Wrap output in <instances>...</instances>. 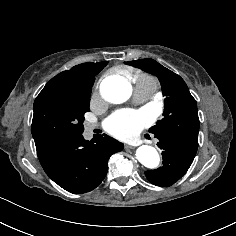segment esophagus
<instances>
[{"label":"esophagus","mask_w":236,"mask_h":236,"mask_svg":"<svg viewBox=\"0 0 236 236\" xmlns=\"http://www.w3.org/2000/svg\"><path fill=\"white\" fill-rule=\"evenodd\" d=\"M129 148H133V146H129Z\"/></svg>","instance_id":"obj_1"}]
</instances>
